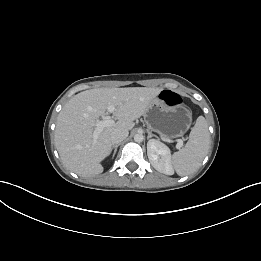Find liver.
Segmentation results:
<instances>
[{
	"label": "liver",
	"mask_w": 261,
	"mask_h": 261,
	"mask_svg": "<svg viewBox=\"0 0 261 261\" xmlns=\"http://www.w3.org/2000/svg\"><path fill=\"white\" fill-rule=\"evenodd\" d=\"M162 91L160 88H97L78 93L62 108L56 123L55 146L63 164L82 177L103 172L101 161L110 153V135L115 130H131L149 104ZM114 105L116 123L105 127L94 143L93 123L108 114Z\"/></svg>",
	"instance_id": "liver-1"
}]
</instances>
